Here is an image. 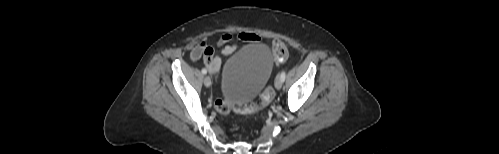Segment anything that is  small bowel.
Returning a JSON list of instances; mask_svg holds the SVG:
<instances>
[{"label": "small bowel", "instance_id": "c3829d8e", "mask_svg": "<svg viewBox=\"0 0 499 154\" xmlns=\"http://www.w3.org/2000/svg\"><path fill=\"white\" fill-rule=\"evenodd\" d=\"M260 36L251 32H240L237 35L231 33L223 34L217 41L216 45L219 48V52L214 54L209 61H205L207 69L211 73H216L220 70L222 64V56H227L232 54L237 46L234 41H245V42H258ZM198 55H196L197 57Z\"/></svg>", "mask_w": 499, "mask_h": 154}]
</instances>
